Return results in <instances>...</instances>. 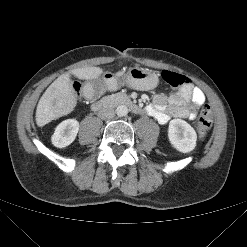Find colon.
Instances as JSON below:
<instances>
[{
    "mask_svg": "<svg viewBox=\"0 0 247 247\" xmlns=\"http://www.w3.org/2000/svg\"><path fill=\"white\" fill-rule=\"evenodd\" d=\"M161 77L169 86L173 88L184 87L191 84L190 79H188L186 76L168 70L162 71ZM80 89V84L75 83V92L78 93ZM212 123L213 118L211 107L209 105H205L201 110L197 127V133L200 138L204 137L207 134V132L211 129Z\"/></svg>",
    "mask_w": 247,
    "mask_h": 247,
    "instance_id": "obj_1",
    "label": "colon"
}]
</instances>
